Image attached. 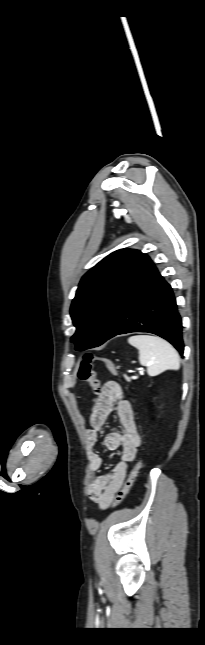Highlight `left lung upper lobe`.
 <instances>
[{"label":"left lung upper lobe","instance_id":"left-lung-upper-lobe-1","mask_svg":"<svg viewBox=\"0 0 205 645\" xmlns=\"http://www.w3.org/2000/svg\"><path fill=\"white\" fill-rule=\"evenodd\" d=\"M140 253L138 250H117L82 277L70 309L76 327L71 341L77 350L104 343L118 296Z\"/></svg>","mask_w":205,"mask_h":645}]
</instances>
